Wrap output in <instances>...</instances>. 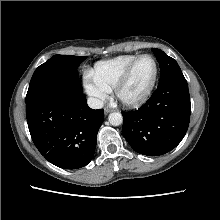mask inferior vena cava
<instances>
[{"label":"inferior vena cava","instance_id":"1","mask_svg":"<svg viewBox=\"0 0 220 220\" xmlns=\"http://www.w3.org/2000/svg\"><path fill=\"white\" fill-rule=\"evenodd\" d=\"M87 102L88 106L92 109H101L104 105L103 101L94 97L88 98Z\"/></svg>","mask_w":220,"mask_h":220}]
</instances>
